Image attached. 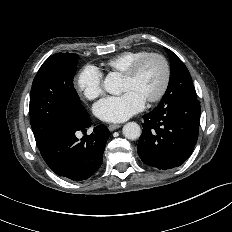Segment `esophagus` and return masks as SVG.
Masks as SVG:
<instances>
[{
    "instance_id": "34e87169",
    "label": "esophagus",
    "mask_w": 232,
    "mask_h": 232,
    "mask_svg": "<svg viewBox=\"0 0 232 232\" xmlns=\"http://www.w3.org/2000/svg\"><path fill=\"white\" fill-rule=\"evenodd\" d=\"M120 127H121L120 124H110L109 127H108V129H109L110 131H114V130L120 128Z\"/></svg>"
}]
</instances>
